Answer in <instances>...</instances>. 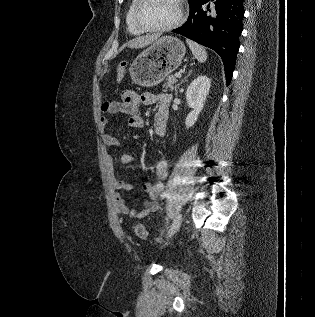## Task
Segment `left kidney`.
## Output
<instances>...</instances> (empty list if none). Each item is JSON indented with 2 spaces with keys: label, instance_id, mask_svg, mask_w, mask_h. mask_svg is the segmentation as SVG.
<instances>
[{
  "label": "left kidney",
  "instance_id": "obj_1",
  "mask_svg": "<svg viewBox=\"0 0 315 317\" xmlns=\"http://www.w3.org/2000/svg\"><path fill=\"white\" fill-rule=\"evenodd\" d=\"M211 87V79L206 75L198 76L187 88L186 100L192 111L187 115L185 125L186 128L192 127L198 119L199 113L202 111L206 98Z\"/></svg>",
  "mask_w": 315,
  "mask_h": 317
}]
</instances>
